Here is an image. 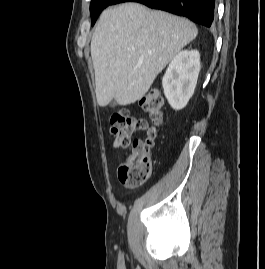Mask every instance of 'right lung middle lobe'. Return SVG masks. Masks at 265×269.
Wrapping results in <instances>:
<instances>
[{
	"mask_svg": "<svg viewBox=\"0 0 265 269\" xmlns=\"http://www.w3.org/2000/svg\"><path fill=\"white\" fill-rule=\"evenodd\" d=\"M114 0H91L90 4V15L92 19V25L96 22L100 12L111 5Z\"/></svg>",
	"mask_w": 265,
	"mask_h": 269,
	"instance_id": "1",
	"label": "right lung middle lobe"
}]
</instances>
